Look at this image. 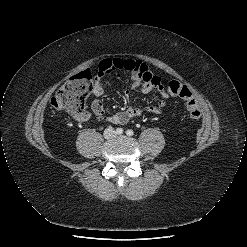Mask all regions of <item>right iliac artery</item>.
<instances>
[{
  "mask_svg": "<svg viewBox=\"0 0 247 247\" xmlns=\"http://www.w3.org/2000/svg\"><path fill=\"white\" fill-rule=\"evenodd\" d=\"M116 133L119 134V135L122 134L123 133V129L122 128H117L116 129Z\"/></svg>",
  "mask_w": 247,
  "mask_h": 247,
  "instance_id": "82829eb1",
  "label": "right iliac artery"
}]
</instances>
